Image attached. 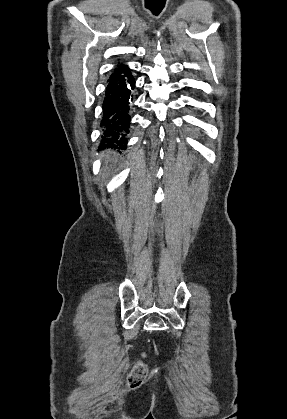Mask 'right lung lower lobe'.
Here are the masks:
<instances>
[{"mask_svg":"<svg viewBox=\"0 0 287 419\" xmlns=\"http://www.w3.org/2000/svg\"><path fill=\"white\" fill-rule=\"evenodd\" d=\"M135 80L129 69L108 79L102 108L101 148L126 149L130 128V110Z\"/></svg>","mask_w":287,"mask_h":419,"instance_id":"right-lung-lower-lobe-1","label":"right lung lower lobe"}]
</instances>
